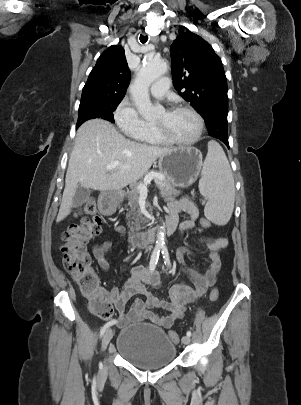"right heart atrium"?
Listing matches in <instances>:
<instances>
[{
	"label": "right heart atrium",
	"mask_w": 301,
	"mask_h": 405,
	"mask_svg": "<svg viewBox=\"0 0 301 405\" xmlns=\"http://www.w3.org/2000/svg\"><path fill=\"white\" fill-rule=\"evenodd\" d=\"M114 119L120 130L130 136L146 126V122L141 118L134 104L127 98H124L116 107Z\"/></svg>",
	"instance_id": "right-heart-atrium-1"
}]
</instances>
